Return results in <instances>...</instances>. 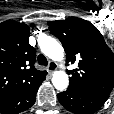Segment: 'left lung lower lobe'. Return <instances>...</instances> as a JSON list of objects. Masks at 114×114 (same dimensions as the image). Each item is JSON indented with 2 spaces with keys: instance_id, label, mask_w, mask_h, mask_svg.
Here are the masks:
<instances>
[{
  "instance_id": "1",
  "label": "left lung lower lobe",
  "mask_w": 114,
  "mask_h": 114,
  "mask_svg": "<svg viewBox=\"0 0 114 114\" xmlns=\"http://www.w3.org/2000/svg\"><path fill=\"white\" fill-rule=\"evenodd\" d=\"M107 99L106 95L73 87H68L66 91L58 94L59 102L75 114H93Z\"/></svg>"
}]
</instances>
